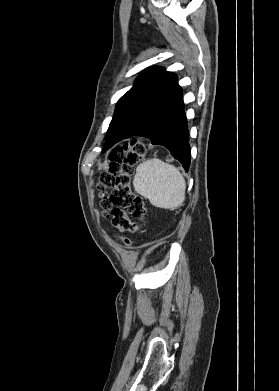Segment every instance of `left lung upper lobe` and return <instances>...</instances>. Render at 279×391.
Wrapping results in <instances>:
<instances>
[{
	"mask_svg": "<svg viewBox=\"0 0 279 391\" xmlns=\"http://www.w3.org/2000/svg\"><path fill=\"white\" fill-rule=\"evenodd\" d=\"M182 96V89L174 73L162 67L143 71L133 87L117 102L103 151L140 132Z\"/></svg>",
	"mask_w": 279,
	"mask_h": 391,
	"instance_id": "1",
	"label": "left lung upper lobe"
}]
</instances>
